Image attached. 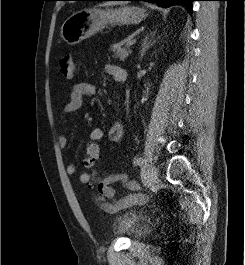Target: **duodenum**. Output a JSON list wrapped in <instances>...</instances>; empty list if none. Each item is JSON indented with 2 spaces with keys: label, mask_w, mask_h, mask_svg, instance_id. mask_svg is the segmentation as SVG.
Listing matches in <instances>:
<instances>
[{
  "label": "duodenum",
  "mask_w": 245,
  "mask_h": 265,
  "mask_svg": "<svg viewBox=\"0 0 245 265\" xmlns=\"http://www.w3.org/2000/svg\"><path fill=\"white\" fill-rule=\"evenodd\" d=\"M126 78H127V76L125 77V80H126ZM125 80H124V81H125ZM120 82H123V81H122V80H120Z\"/></svg>",
  "instance_id": "obj_1"
}]
</instances>
